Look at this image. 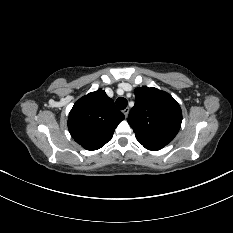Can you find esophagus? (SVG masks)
<instances>
[{
    "instance_id": "esophagus-1",
    "label": "esophagus",
    "mask_w": 233,
    "mask_h": 233,
    "mask_svg": "<svg viewBox=\"0 0 233 233\" xmlns=\"http://www.w3.org/2000/svg\"><path fill=\"white\" fill-rule=\"evenodd\" d=\"M129 111H130L129 108H125L123 110V114L125 115L126 118L128 117Z\"/></svg>"
}]
</instances>
